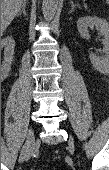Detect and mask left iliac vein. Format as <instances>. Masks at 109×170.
I'll use <instances>...</instances> for the list:
<instances>
[{"label":"left iliac vein","mask_w":109,"mask_h":170,"mask_svg":"<svg viewBox=\"0 0 109 170\" xmlns=\"http://www.w3.org/2000/svg\"><path fill=\"white\" fill-rule=\"evenodd\" d=\"M68 147H69L70 152L73 153L74 152V142L72 139L68 140Z\"/></svg>","instance_id":"obj_1"}]
</instances>
